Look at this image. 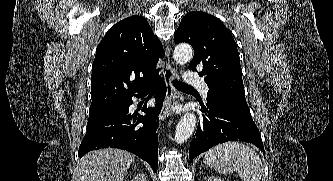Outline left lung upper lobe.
Instances as JSON below:
<instances>
[{
	"label": "left lung upper lobe",
	"mask_w": 333,
	"mask_h": 181,
	"mask_svg": "<svg viewBox=\"0 0 333 181\" xmlns=\"http://www.w3.org/2000/svg\"><path fill=\"white\" fill-rule=\"evenodd\" d=\"M175 43L187 42L194 49L189 69L197 71L216 97L226 104L249 109L245 99L237 45L230 31L216 17L190 12L183 17L174 36Z\"/></svg>",
	"instance_id": "1"
}]
</instances>
